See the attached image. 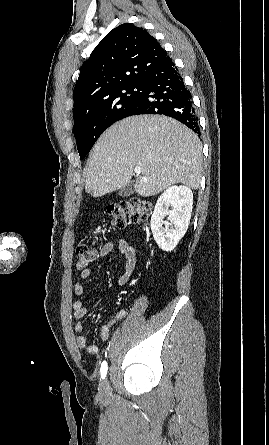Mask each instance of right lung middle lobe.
Here are the masks:
<instances>
[{"mask_svg": "<svg viewBox=\"0 0 269 445\" xmlns=\"http://www.w3.org/2000/svg\"><path fill=\"white\" fill-rule=\"evenodd\" d=\"M143 84L122 86L95 96L73 110L74 136L80 159H84L105 129L123 119L137 106Z\"/></svg>", "mask_w": 269, "mask_h": 445, "instance_id": "obj_1", "label": "right lung middle lobe"}]
</instances>
